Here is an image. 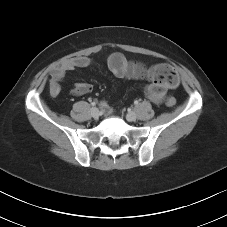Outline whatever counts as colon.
Returning <instances> with one entry per match:
<instances>
[{"mask_svg":"<svg viewBox=\"0 0 227 227\" xmlns=\"http://www.w3.org/2000/svg\"><path fill=\"white\" fill-rule=\"evenodd\" d=\"M155 71L160 81L167 83L171 86H176L178 83V76L173 67L168 64H156ZM177 104L174 97L166 98V105L168 107H175Z\"/></svg>","mask_w":227,"mask_h":227,"instance_id":"colon-1","label":"colon"}]
</instances>
